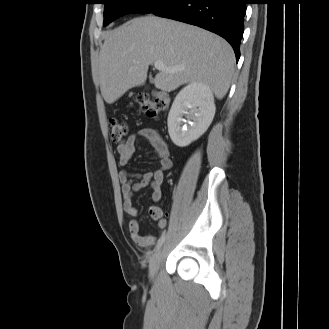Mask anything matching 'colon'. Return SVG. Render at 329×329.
<instances>
[{
	"label": "colon",
	"instance_id": "colon-1",
	"mask_svg": "<svg viewBox=\"0 0 329 329\" xmlns=\"http://www.w3.org/2000/svg\"><path fill=\"white\" fill-rule=\"evenodd\" d=\"M138 110L146 114L149 118H157L162 110V103L158 100H152L147 95L138 97ZM111 139L115 142L123 140L127 134V126L118 119L109 120Z\"/></svg>",
	"mask_w": 329,
	"mask_h": 329
}]
</instances>
